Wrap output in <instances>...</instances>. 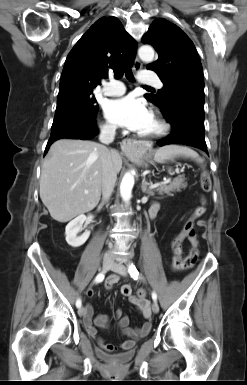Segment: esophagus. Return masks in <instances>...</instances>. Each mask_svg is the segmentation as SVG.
Returning <instances> with one entry per match:
<instances>
[{
  "instance_id": "34e87169",
  "label": "esophagus",
  "mask_w": 247,
  "mask_h": 385,
  "mask_svg": "<svg viewBox=\"0 0 247 385\" xmlns=\"http://www.w3.org/2000/svg\"><path fill=\"white\" fill-rule=\"evenodd\" d=\"M141 68H142V63L138 58H136L133 64V69L135 71H139ZM121 147L126 154H132L137 149H140L141 144L135 140L124 139Z\"/></svg>"
}]
</instances>
